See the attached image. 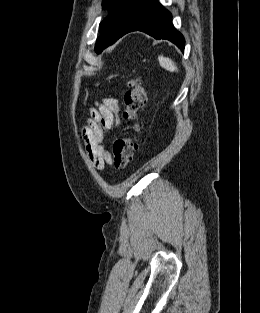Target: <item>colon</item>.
<instances>
[{"label":"colon","mask_w":260,"mask_h":313,"mask_svg":"<svg viewBox=\"0 0 260 313\" xmlns=\"http://www.w3.org/2000/svg\"><path fill=\"white\" fill-rule=\"evenodd\" d=\"M146 103L145 89L139 78L128 80V89L124 94L125 109L123 117L126 120L127 133L118 138L113 145L112 163L117 170L126 169L135 152V134L139 130L138 113Z\"/></svg>","instance_id":"obj_1"}]
</instances>
